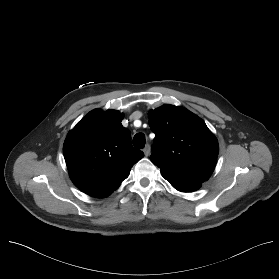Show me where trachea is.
I'll return each mask as SVG.
<instances>
[{
  "label": "trachea",
  "mask_w": 279,
  "mask_h": 279,
  "mask_svg": "<svg viewBox=\"0 0 279 279\" xmlns=\"http://www.w3.org/2000/svg\"><path fill=\"white\" fill-rule=\"evenodd\" d=\"M133 145L136 148L142 149L145 146V135L143 133H137L133 138Z\"/></svg>",
  "instance_id": "obj_1"
}]
</instances>
